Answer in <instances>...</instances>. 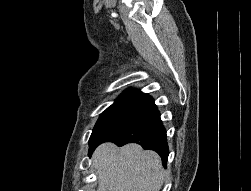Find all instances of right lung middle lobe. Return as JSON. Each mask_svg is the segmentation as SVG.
<instances>
[{
  "label": "right lung middle lobe",
  "mask_w": 251,
  "mask_h": 191,
  "mask_svg": "<svg viewBox=\"0 0 251 191\" xmlns=\"http://www.w3.org/2000/svg\"><path fill=\"white\" fill-rule=\"evenodd\" d=\"M143 110L110 106L99 117L89 139V155L103 142L126 127Z\"/></svg>",
  "instance_id": "obj_1"
}]
</instances>
